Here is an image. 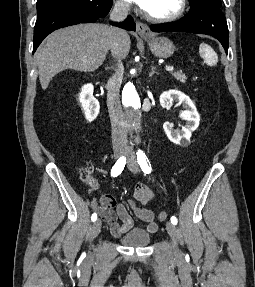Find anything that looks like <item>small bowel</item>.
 Listing matches in <instances>:
<instances>
[{"instance_id":"c3829d8e","label":"small bowel","mask_w":255,"mask_h":287,"mask_svg":"<svg viewBox=\"0 0 255 287\" xmlns=\"http://www.w3.org/2000/svg\"><path fill=\"white\" fill-rule=\"evenodd\" d=\"M153 199V191L144 184H138L133 191V200H130L128 205L117 203L111 195H103L99 203H92V208L106 222L112 235L115 237L124 235L133 226V220L128 212V207L139 220L147 224V230L154 233L158 229L155 214L152 210L142 206L148 204Z\"/></svg>"}]
</instances>
